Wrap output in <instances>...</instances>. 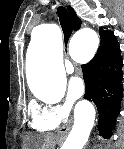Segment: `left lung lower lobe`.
Returning <instances> with one entry per match:
<instances>
[{
  "mask_svg": "<svg viewBox=\"0 0 124 149\" xmlns=\"http://www.w3.org/2000/svg\"><path fill=\"white\" fill-rule=\"evenodd\" d=\"M100 37L96 55L82 65L86 86L84 99L95 103L99 112V133L108 139L120 111L123 59L113 32L100 34Z\"/></svg>",
  "mask_w": 124,
  "mask_h": 149,
  "instance_id": "obj_1",
  "label": "left lung lower lobe"
}]
</instances>
